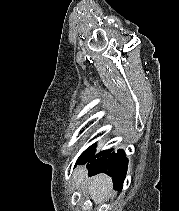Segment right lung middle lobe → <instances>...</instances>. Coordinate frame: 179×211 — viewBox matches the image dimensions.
Wrapping results in <instances>:
<instances>
[{
	"label": "right lung middle lobe",
	"instance_id": "obj_1",
	"mask_svg": "<svg viewBox=\"0 0 179 211\" xmlns=\"http://www.w3.org/2000/svg\"><path fill=\"white\" fill-rule=\"evenodd\" d=\"M95 147H96V144H93L91 145L89 148H87L81 155L80 157L78 158L77 162L87 158L88 156L92 155L95 151Z\"/></svg>",
	"mask_w": 179,
	"mask_h": 211
}]
</instances>
